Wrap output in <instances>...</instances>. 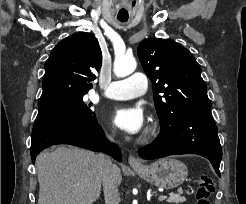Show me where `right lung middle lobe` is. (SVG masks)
<instances>
[{"label":"right lung middle lobe","mask_w":246,"mask_h":204,"mask_svg":"<svg viewBox=\"0 0 246 204\" xmlns=\"http://www.w3.org/2000/svg\"><path fill=\"white\" fill-rule=\"evenodd\" d=\"M86 93H67L48 100L39 101V112L52 111L69 117L89 119L95 116V113L90 109L91 104L83 102V96Z\"/></svg>","instance_id":"dd1d6c3e"}]
</instances>
